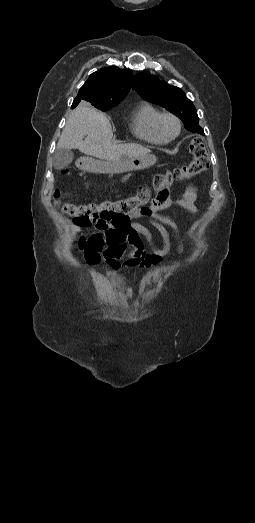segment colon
Here are the masks:
<instances>
[{
  "mask_svg": "<svg viewBox=\"0 0 255 523\" xmlns=\"http://www.w3.org/2000/svg\"><path fill=\"white\" fill-rule=\"evenodd\" d=\"M189 152L193 159L188 165L165 174L156 175L151 184L139 186L133 196L117 201L75 205L62 203L60 200L61 192L55 190L53 194L55 204L64 214L72 217L80 225L104 222L117 227L122 226L127 223L130 213L145 208L150 202L152 192L156 194L154 201L161 200L168 194L175 182L190 179L207 170L209 156L201 138L196 137L190 141Z\"/></svg>",
  "mask_w": 255,
  "mask_h": 523,
  "instance_id": "1",
  "label": "colon"
}]
</instances>
